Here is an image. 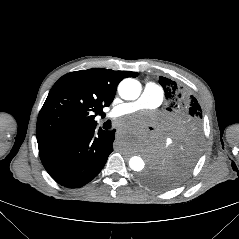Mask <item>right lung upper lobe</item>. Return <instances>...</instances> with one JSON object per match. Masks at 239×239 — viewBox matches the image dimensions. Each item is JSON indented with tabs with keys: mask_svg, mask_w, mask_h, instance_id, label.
Wrapping results in <instances>:
<instances>
[{
	"mask_svg": "<svg viewBox=\"0 0 239 239\" xmlns=\"http://www.w3.org/2000/svg\"><path fill=\"white\" fill-rule=\"evenodd\" d=\"M138 73L93 68L68 73L51 88L36 126L38 148L84 134L96 127L95 115L103 114L126 77Z\"/></svg>",
	"mask_w": 239,
	"mask_h": 239,
	"instance_id": "cb5924a9",
	"label": "right lung upper lobe"
}]
</instances>
